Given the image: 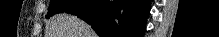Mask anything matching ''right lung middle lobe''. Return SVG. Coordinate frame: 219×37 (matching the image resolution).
I'll return each instance as SVG.
<instances>
[{
    "label": "right lung middle lobe",
    "instance_id": "right-lung-middle-lobe-1",
    "mask_svg": "<svg viewBox=\"0 0 219 37\" xmlns=\"http://www.w3.org/2000/svg\"><path fill=\"white\" fill-rule=\"evenodd\" d=\"M79 1L80 0H51L46 18L65 12L68 7L78 3Z\"/></svg>",
    "mask_w": 219,
    "mask_h": 37
}]
</instances>
